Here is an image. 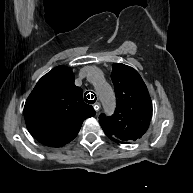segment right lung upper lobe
<instances>
[{"instance_id": "obj_1", "label": "right lung upper lobe", "mask_w": 193, "mask_h": 193, "mask_svg": "<svg viewBox=\"0 0 193 193\" xmlns=\"http://www.w3.org/2000/svg\"><path fill=\"white\" fill-rule=\"evenodd\" d=\"M95 115L83 101V91L74 85L72 70L57 66L44 75L29 95L24 117L31 135L50 147L73 140L82 122Z\"/></svg>"}]
</instances>
